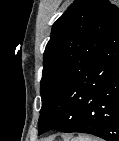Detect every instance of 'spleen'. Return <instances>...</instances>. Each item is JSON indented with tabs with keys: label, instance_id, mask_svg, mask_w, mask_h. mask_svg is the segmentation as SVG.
Wrapping results in <instances>:
<instances>
[{
	"label": "spleen",
	"instance_id": "3e777b00",
	"mask_svg": "<svg viewBox=\"0 0 119 141\" xmlns=\"http://www.w3.org/2000/svg\"><path fill=\"white\" fill-rule=\"evenodd\" d=\"M74 141H95V140L90 137H78Z\"/></svg>",
	"mask_w": 119,
	"mask_h": 141
}]
</instances>
